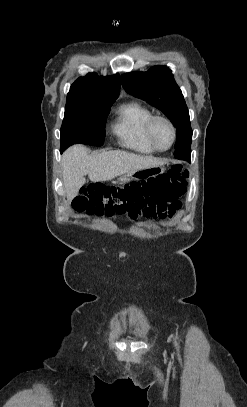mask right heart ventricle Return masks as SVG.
<instances>
[{"instance_id":"e07e8e85","label":"right heart ventricle","mask_w":247,"mask_h":407,"mask_svg":"<svg viewBox=\"0 0 247 407\" xmlns=\"http://www.w3.org/2000/svg\"><path fill=\"white\" fill-rule=\"evenodd\" d=\"M153 113L139 103H128L118 108L112 126L120 143L133 151L142 154L156 152L146 135V126Z\"/></svg>"}]
</instances>
